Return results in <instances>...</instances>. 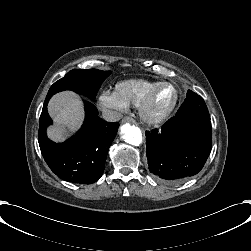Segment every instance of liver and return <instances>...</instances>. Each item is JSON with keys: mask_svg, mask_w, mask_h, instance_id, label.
Segmentation results:
<instances>
[{"mask_svg": "<svg viewBox=\"0 0 251 251\" xmlns=\"http://www.w3.org/2000/svg\"><path fill=\"white\" fill-rule=\"evenodd\" d=\"M48 112L55 125L47 128V135L55 142L65 140L67 136L65 127L74 132L84 119L83 103L72 91H63L54 95L49 101Z\"/></svg>", "mask_w": 251, "mask_h": 251, "instance_id": "liver-1", "label": "liver"}]
</instances>
